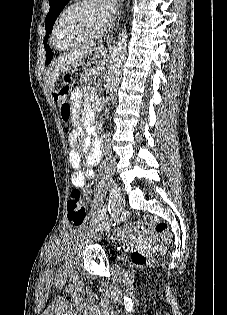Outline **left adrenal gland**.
Here are the masks:
<instances>
[{
    "mask_svg": "<svg viewBox=\"0 0 227 315\" xmlns=\"http://www.w3.org/2000/svg\"><path fill=\"white\" fill-rule=\"evenodd\" d=\"M96 87H97V90H100V91L102 90L100 80L98 81V84H97V86H96Z\"/></svg>",
    "mask_w": 227,
    "mask_h": 315,
    "instance_id": "left-adrenal-gland-1",
    "label": "left adrenal gland"
}]
</instances>
